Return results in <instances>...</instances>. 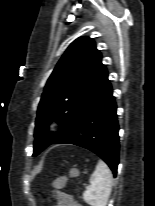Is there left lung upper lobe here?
I'll return each mask as SVG.
<instances>
[{
	"mask_svg": "<svg viewBox=\"0 0 155 206\" xmlns=\"http://www.w3.org/2000/svg\"><path fill=\"white\" fill-rule=\"evenodd\" d=\"M101 59L100 51L89 37L76 39L63 54L38 106L33 156L67 134L89 105L109 87ZM55 119L60 121L61 129L50 133L48 126Z\"/></svg>",
	"mask_w": 155,
	"mask_h": 206,
	"instance_id": "5c2ea615",
	"label": "left lung upper lobe"
}]
</instances>
